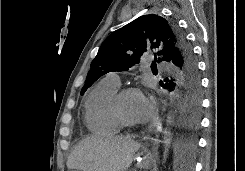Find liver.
Instances as JSON below:
<instances>
[{
	"instance_id": "obj_1",
	"label": "liver",
	"mask_w": 245,
	"mask_h": 171,
	"mask_svg": "<svg viewBox=\"0 0 245 171\" xmlns=\"http://www.w3.org/2000/svg\"><path fill=\"white\" fill-rule=\"evenodd\" d=\"M140 144L122 136H90L82 140L67 159L68 169L126 171Z\"/></svg>"
}]
</instances>
